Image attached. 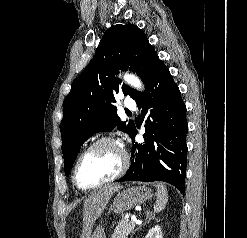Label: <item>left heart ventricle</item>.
I'll return each instance as SVG.
<instances>
[{
	"mask_svg": "<svg viewBox=\"0 0 247 238\" xmlns=\"http://www.w3.org/2000/svg\"><path fill=\"white\" fill-rule=\"evenodd\" d=\"M122 155L113 144H102L87 154L78 168V180L88 187L114 176L121 168Z\"/></svg>",
	"mask_w": 247,
	"mask_h": 238,
	"instance_id": "b2bd125f",
	"label": "left heart ventricle"
}]
</instances>
